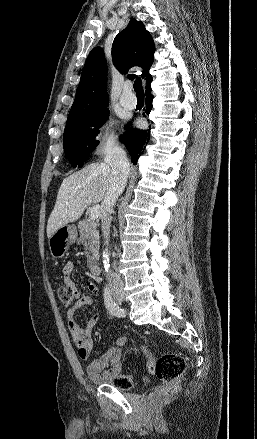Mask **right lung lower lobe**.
I'll use <instances>...</instances> for the list:
<instances>
[{
  "instance_id": "98d812e1",
  "label": "right lung lower lobe",
  "mask_w": 257,
  "mask_h": 439,
  "mask_svg": "<svg viewBox=\"0 0 257 439\" xmlns=\"http://www.w3.org/2000/svg\"><path fill=\"white\" fill-rule=\"evenodd\" d=\"M152 82V78L149 79L146 83V113L149 114L152 110V100L153 95L150 87V83ZM126 131L124 135L121 137V140L124 142L127 150L131 155V161L133 164H137L138 158L142 154L143 146L148 143L150 137V130H139L132 129L130 127L125 128Z\"/></svg>"
}]
</instances>
